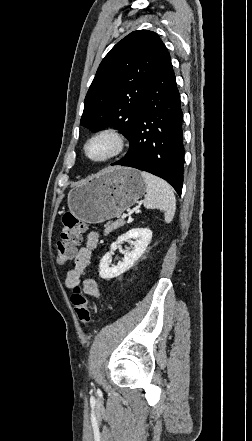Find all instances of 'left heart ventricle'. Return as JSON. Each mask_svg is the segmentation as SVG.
Instances as JSON below:
<instances>
[{
    "label": "left heart ventricle",
    "mask_w": 252,
    "mask_h": 441,
    "mask_svg": "<svg viewBox=\"0 0 252 441\" xmlns=\"http://www.w3.org/2000/svg\"><path fill=\"white\" fill-rule=\"evenodd\" d=\"M111 148L112 143L108 139H98L89 145L88 151L91 157L100 158L107 155Z\"/></svg>",
    "instance_id": "1"
}]
</instances>
